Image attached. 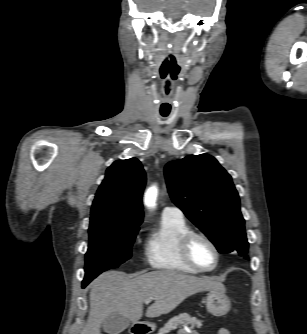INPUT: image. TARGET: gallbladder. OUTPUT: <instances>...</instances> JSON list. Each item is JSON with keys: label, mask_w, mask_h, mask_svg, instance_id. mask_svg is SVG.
I'll use <instances>...</instances> for the list:
<instances>
[{"label": "gallbladder", "mask_w": 307, "mask_h": 334, "mask_svg": "<svg viewBox=\"0 0 307 334\" xmlns=\"http://www.w3.org/2000/svg\"><path fill=\"white\" fill-rule=\"evenodd\" d=\"M130 325V321L119 313L109 315L102 323V328L107 334H120Z\"/></svg>", "instance_id": "obj_1"}]
</instances>
